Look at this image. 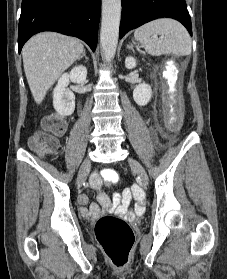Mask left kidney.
<instances>
[{
    "mask_svg": "<svg viewBox=\"0 0 227 279\" xmlns=\"http://www.w3.org/2000/svg\"><path fill=\"white\" fill-rule=\"evenodd\" d=\"M137 65V61L134 57L128 56L125 59V66L127 69H133ZM152 97L151 86L145 83H141L133 91L134 101L139 106H145L150 101Z\"/></svg>",
    "mask_w": 227,
    "mask_h": 279,
    "instance_id": "obj_1",
    "label": "left kidney"
}]
</instances>
